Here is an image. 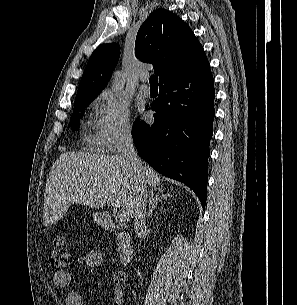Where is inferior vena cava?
<instances>
[{
    "label": "inferior vena cava",
    "mask_w": 297,
    "mask_h": 305,
    "mask_svg": "<svg viewBox=\"0 0 297 305\" xmlns=\"http://www.w3.org/2000/svg\"><path fill=\"white\" fill-rule=\"evenodd\" d=\"M121 155L134 176L135 190L132 203L134 227L138 237H143L146 233L147 184L130 130H125L122 134Z\"/></svg>",
    "instance_id": "inferior-vena-cava-1"
}]
</instances>
